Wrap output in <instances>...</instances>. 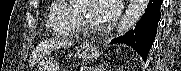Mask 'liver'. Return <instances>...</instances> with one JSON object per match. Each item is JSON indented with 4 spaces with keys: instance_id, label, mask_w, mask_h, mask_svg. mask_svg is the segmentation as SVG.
<instances>
[{
    "instance_id": "6515ba94",
    "label": "liver",
    "mask_w": 181,
    "mask_h": 71,
    "mask_svg": "<svg viewBox=\"0 0 181 71\" xmlns=\"http://www.w3.org/2000/svg\"><path fill=\"white\" fill-rule=\"evenodd\" d=\"M71 44L72 43L69 40L64 39H50L41 42L32 53L30 58V66H34L45 54H48L61 47L70 46Z\"/></svg>"
}]
</instances>
